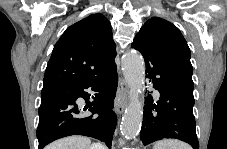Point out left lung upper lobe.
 <instances>
[{"instance_id": "1", "label": "left lung upper lobe", "mask_w": 227, "mask_h": 149, "mask_svg": "<svg viewBox=\"0 0 227 149\" xmlns=\"http://www.w3.org/2000/svg\"><path fill=\"white\" fill-rule=\"evenodd\" d=\"M138 33L145 34L157 52L193 84L190 49L180 30L169 21L153 17Z\"/></svg>"}]
</instances>
